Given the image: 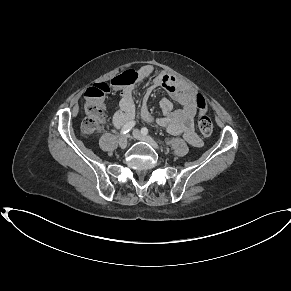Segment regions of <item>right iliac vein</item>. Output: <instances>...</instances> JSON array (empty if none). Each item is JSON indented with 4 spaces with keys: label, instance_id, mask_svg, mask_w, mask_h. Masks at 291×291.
Masks as SVG:
<instances>
[{
    "label": "right iliac vein",
    "instance_id": "obj_1",
    "mask_svg": "<svg viewBox=\"0 0 291 291\" xmlns=\"http://www.w3.org/2000/svg\"><path fill=\"white\" fill-rule=\"evenodd\" d=\"M128 144V136H122L120 139H119V146L120 148L124 149L126 148Z\"/></svg>",
    "mask_w": 291,
    "mask_h": 291
}]
</instances>
